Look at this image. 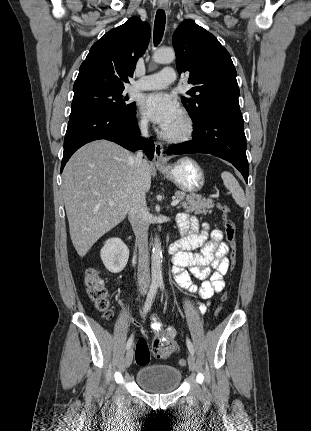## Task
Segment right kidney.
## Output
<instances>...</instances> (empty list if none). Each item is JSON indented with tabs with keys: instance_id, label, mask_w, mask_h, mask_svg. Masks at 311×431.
<instances>
[{
	"instance_id": "right-kidney-1",
	"label": "right kidney",
	"mask_w": 311,
	"mask_h": 431,
	"mask_svg": "<svg viewBox=\"0 0 311 431\" xmlns=\"http://www.w3.org/2000/svg\"><path fill=\"white\" fill-rule=\"evenodd\" d=\"M129 257V249L120 237L106 239L101 249V259L112 273H119L124 269Z\"/></svg>"
}]
</instances>
